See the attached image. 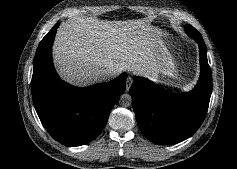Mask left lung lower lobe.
Instances as JSON below:
<instances>
[{"instance_id": "0a47b994", "label": "left lung lower lobe", "mask_w": 237, "mask_h": 169, "mask_svg": "<svg viewBox=\"0 0 237 169\" xmlns=\"http://www.w3.org/2000/svg\"><path fill=\"white\" fill-rule=\"evenodd\" d=\"M186 29V28H185ZM199 45L200 79L188 92L173 94L148 79L135 77L130 89L137 122L150 141L161 145L179 143L191 135L203 122L212 92V75L202 36L186 30Z\"/></svg>"}]
</instances>
